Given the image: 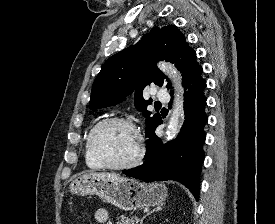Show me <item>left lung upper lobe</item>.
<instances>
[{"instance_id":"left-lung-upper-lobe-1","label":"left lung upper lobe","mask_w":275,"mask_h":224,"mask_svg":"<svg viewBox=\"0 0 275 224\" xmlns=\"http://www.w3.org/2000/svg\"><path fill=\"white\" fill-rule=\"evenodd\" d=\"M157 60L174 63L182 73V83L201 68L196 62V52L175 25L153 27L152 32L145 34L136 45L105 62L93 83L90 108L95 110L117 104L135 91V106L146 117L147 132L161 117L159 114L151 116V112L146 110L152 100H144L142 92L151 83L162 86L164 81H168L157 69ZM166 87H171L170 82Z\"/></svg>"}]
</instances>
